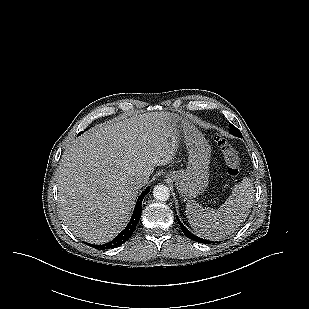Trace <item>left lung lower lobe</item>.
<instances>
[{"label":"left lung lower lobe","instance_id":"1","mask_svg":"<svg viewBox=\"0 0 309 309\" xmlns=\"http://www.w3.org/2000/svg\"><path fill=\"white\" fill-rule=\"evenodd\" d=\"M176 219H177V221H178V223H179V225H180V227H181L183 233H184L188 238H190V239H192V240H194V241H196V242H198V243H210V241H208V240H205V239H202V238H199V237L193 235L190 231H188V230L186 229V227H184V225L179 221V219H178L177 216H176Z\"/></svg>","mask_w":309,"mask_h":309}]
</instances>
